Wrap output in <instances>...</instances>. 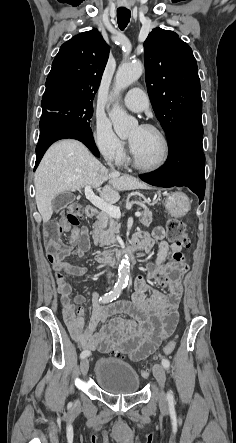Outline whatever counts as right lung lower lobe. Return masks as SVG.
<instances>
[{
	"instance_id": "98d812e1",
	"label": "right lung lower lobe",
	"mask_w": 236,
	"mask_h": 443,
	"mask_svg": "<svg viewBox=\"0 0 236 443\" xmlns=\"http://www.w3.org/2000/svg\"><path fill=\"white\" fill-rule=\"evenodd\" d=\"M40 126V137L36 147V163L37 168L41 158L48 147L57 140L64 138H72L85 144L92 153L99 157L100 153L95 145L92 131L58 112L42 113Z\"/></svg>"
}]
</instances>
